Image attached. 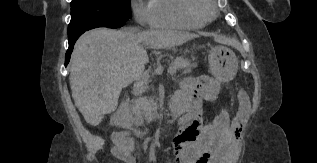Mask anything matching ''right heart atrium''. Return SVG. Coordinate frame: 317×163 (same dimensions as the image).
Segmentation results:
<instances>
[{
	"label": "right heart atrium",
	"instance_id": "right-heart-atrium-1",
	"mask_svg": "<svg viewBox=\"0 0 317 163\" xmlns=\"http://www.w3.org/2000/svg\"><path fill=\"white\" fill-rule=\"evenodd\" d=\"M130 8L136 22L140 25H148L152 17L151 0H129Z\"/></svg>",
	"mask_w": 317,
	"mask_h": 163
}]
</instances>
